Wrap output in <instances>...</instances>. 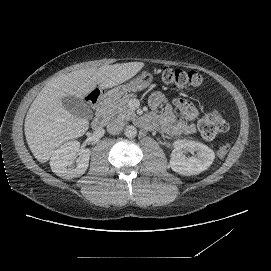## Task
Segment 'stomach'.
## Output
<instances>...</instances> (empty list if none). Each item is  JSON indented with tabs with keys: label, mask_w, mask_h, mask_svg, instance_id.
I'll use <instances>...</instances> for the list:
<instances>
[{
	"label": "stomach",
	"mask_w": 271,
	"mask_h": 271,
	"mask_svg": "<svg viewBox=\"0 0 271 271\" xmlns=\"http://www.w3.org/2000/svg\"><path fill=\"white\" fill-rule=\"evenodd\" d=\"M153 81V75L149 72H142L137 78L125 85H120L112 89V97L120 99L129 92H137L146 89Z\"/></svg>",
	"instance_id": "1"
}]
</instances>
